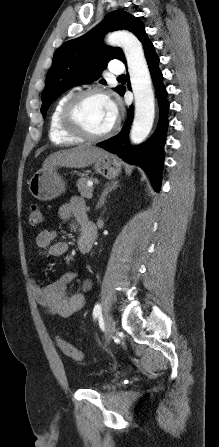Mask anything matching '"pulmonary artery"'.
I'll use <instances>...</instances> for the list:
<instances>
[{
	"instance_id": "pulmonary-artery-1",
	"label": "pulmonary artery",
	"mask_w": 219,
	"mask_h": 447,
	"mask_svg": "<svg viewBox=\"0 0 219 447\" xmlns=\"http://www.w3.org/2000/svg\"><path fill=\"white\" fill-rule=\"evenodd\" d=\"M109 70L113 75H122L124 73V65L119 60H113L110 64Z\"/></svg>"
}]
</instances>
